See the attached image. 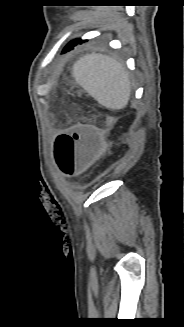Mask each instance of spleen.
<instances>
[{"label":"spleen","mask_w":184,"mask_h":327,"mask_svg":"<svg viewBox=\"0 0 184 327\" xmlns=\"http://www.w3.org/2000/svg\"><path fill=\"white\" fill-rule=\"evenodd\" d=\"M75 81L99 104L110 109L124 108L131 85L123 64L102 54L82 56L73 65Z\"/></svg>","instance_id":"spleen-1"}]
</instances>
